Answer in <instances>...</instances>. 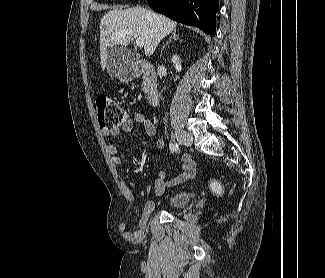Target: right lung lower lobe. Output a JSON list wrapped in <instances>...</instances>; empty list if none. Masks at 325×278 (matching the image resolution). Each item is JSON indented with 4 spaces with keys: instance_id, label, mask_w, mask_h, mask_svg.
Instances as JSON below:
<instances>
[{
    "instance_id": "98d812e1",
    "label": "right lung lower lobe",
    "mask_w": 325,
    "mask_h": 278,
    "mask_svg": "<svg viewBox=\"0 0 325 278\" xmlns=\"http://www.w3.org/2000/svg\"><path fill=\"white\" fill-rule=\"evenodd\" d=\"M153 9L172 20L196 26L207 35L216 33L218 0H148Z\"/></svg>"
}]
</instances>
